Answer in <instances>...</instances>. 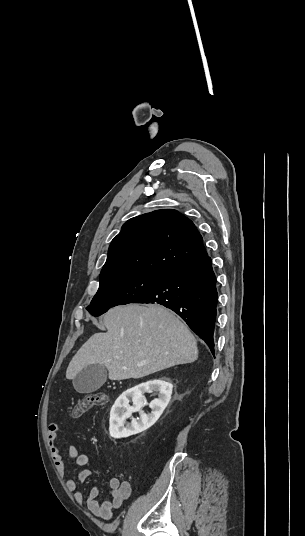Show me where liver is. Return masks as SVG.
<instances>
[{"label":"liver","instance_id":"liver-1","mask_svg":"<svg viewBox=\"0 0 305 536\" xmlns=\"http://www.w3.org/2000/svg\"><path fill=\"white\" fill-rule=\"evenodd\" d=\"M107 334H94L72 358L67 380L103 364L109 380L144 378L198 358L196 340L174 312L158 304L117 306L103 316Z\"/></svg>","mask_w":305,"mask_h":536}]
</instances>
